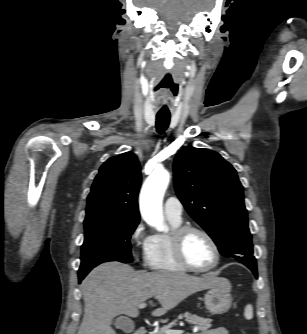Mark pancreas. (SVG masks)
I'll return each mask as SVG.
<instances>
[{
  "label": "pancreas",
  "instance_id": "cf45deb5",
  "mask_svg": "<svg viewBox=\"0 0 307 334\" xmlns=\"http://www.w3.org/2000/svg\"><path fill=\"white\" fill-rule=\"evenodd\" d=\"M185 318V320L193 325H196L198 331H206L211 328L212 319L199 317L197 315L191 314L189 312L184 313L183 315H179L178 319ZM177 320L172 321L171 323L157 329L153 332V334H166L165 331L169 330L171 327L176 325ZM201 334V333H199Z\"/></svg>",
  "mask_w": 307,
  "mask_h": 334
}]
</instances>
